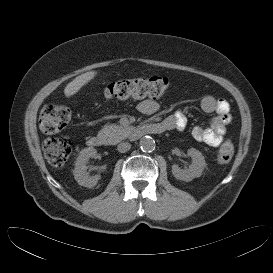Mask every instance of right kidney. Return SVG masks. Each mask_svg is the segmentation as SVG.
<instances>
[{"label":"right kidney","instance_id":"ca27d5eb","mask_svg":"<svg viewBox=\"0 0 273 273\" xmlns=\"http://www.w3.org/2000/svg\"><path fill=\"white\" fill-rule=\"evenodd\" d=\"M96 149L93 147L85 148L81 150L79 156L75 161V168L73 170V175L75 180L79 185L91 188L95 186L100 179V175H95L90 177L87 173V163L90 158L96 156Z\"/></svg>","mask_w":273,"mask_h":273}]
</instances>
